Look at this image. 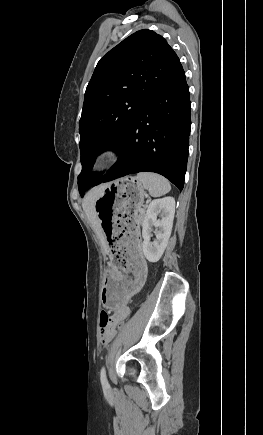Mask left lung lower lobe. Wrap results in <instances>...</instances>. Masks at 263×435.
Listing matches in <instances>:
<instances>
[{
	"label": "left lung lower lobe",
	"instance_id": "obj_1",
	"mask_svg": "<svg viewBox=\"0 0 263 435\" xmlns=\"http://www.w3.org/2000/svg\"><path fill=\"white\" fill-rule=\"evenodd\" d=\"M190 110L189 88L180 64L133 121L113 169L92 186L149 171L163 175L182 190L187 168Z\"/></svg>",
	"mask_w": 263,
	"mask_h": 435
}]
</instances>
